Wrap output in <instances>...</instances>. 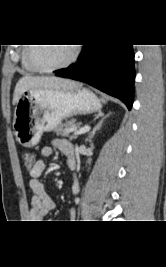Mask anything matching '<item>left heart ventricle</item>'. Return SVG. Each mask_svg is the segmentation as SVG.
I'll list each match as a JSON object with an SVG mask.
<instances>
[{"instance_id": "left-heart-ventricle-1", "label": "left heart ventricle", "mask_w": 166, "mask_h": 267, "mask_svg": "<svg viewBox=\"0 0 166 267\" xmlns=\"http://www.w3.org/2000/svg\"><path fill=\"white\" fill-rule=\"evenodd\" d=\"M73 51L71 46H35L33 58L41 66L52 67L64 63Z\"/></svg>"}]
</instances>
